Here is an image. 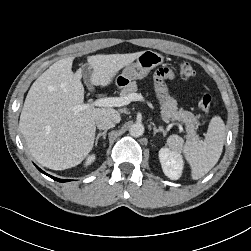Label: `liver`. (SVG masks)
<instances>
[{
    "label": "liver",
    "instance_id": "1",
    "mask_svg": "<svg viewBox=\"0 0 251 251\" xmlns=\"http://www.w3.org/2000/svg\"><path fill=\"white\" fill-rule=\"evenodd\" d=\"M142 52L92 55L87 58L93 85L106 87L120 69ZM74 57L55 62L32 84L20 115L19 128L29 152L42 166L65 170L80 164L91 152L96 119L109 115L116 122L119 113L112 108L90 107L76 112L84 101L82 73L72 72Z\"/></svg>",
    "mask_w": 251,
    "mask_h": 251
}]
</instances>
